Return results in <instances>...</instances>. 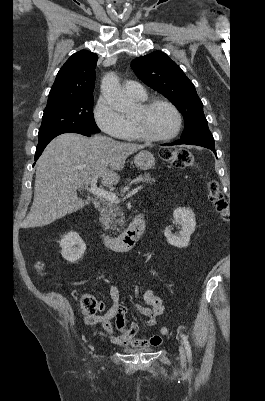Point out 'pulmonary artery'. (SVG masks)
I'll use <instances>...</instances> for the list:
<instances>
[{"instance_id": "1", "label": "pulmonary artery", "mask_w": 265, "mask_h": 401, "mask_svg": "<svg viewBox=\"0 0 265 401\" xmlns=\"http://www.w3.org/2000/svg\"><path fill=\"white\" fill-rule=\"evenodd\" d=\"M123 89L129 95H134V96L145 95V90L139 84H136V82L134 81L131 82L125 81L123 83Z\"/></svg>"}]
</instances>
